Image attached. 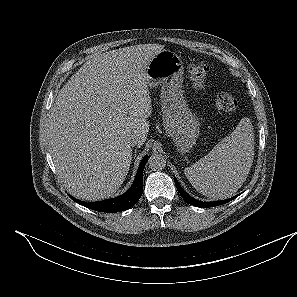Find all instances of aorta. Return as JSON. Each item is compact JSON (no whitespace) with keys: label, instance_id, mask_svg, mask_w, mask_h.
Masks as SVG:
<instances>
[{"label":"aorta","instance_id":"1","mask_svg":"<svg viewBox=\"0 0 297 297\" xmlns=\"http://www.w3.org/2000/svg\"><path fill=\"white\" fill-rule=\"evenodd\" d=\"M148 165L153 171H159L165 168L166 159L162 154H152L148 159Z\"/></svg>","mask_w":297,"mask_h":297}]
</instances>
